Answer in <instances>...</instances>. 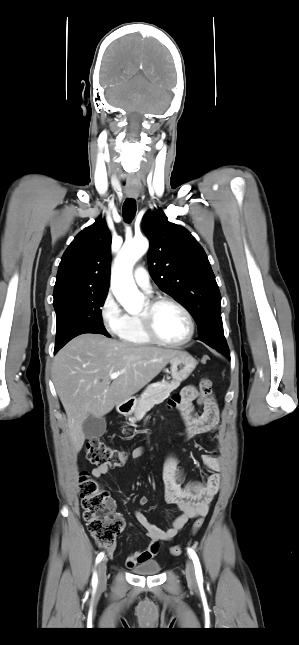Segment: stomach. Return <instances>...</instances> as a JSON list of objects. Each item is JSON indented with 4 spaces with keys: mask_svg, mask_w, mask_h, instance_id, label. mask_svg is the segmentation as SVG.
Instances as JSON below:
<instances>
[{
    "mask_svg": "<svg viewBox=\"0 0 299 645\" xmlns=\"http://www.w3.org/2000/svg\"><path fill=\"white\" fill-rule=\"evenodd\" d=\"M171 376L174 381L180 383L186 380L197 366V361L187 352L176 356L170 361ZM137 400L129 399L126 403V410L123 414L128 415L134 411Z\"/></svg>",
    "mask_w": 299,
    "mask_h": 645,
    "instance_id": "0dacf381",
    "label": "stomach"
}]
</instances>
